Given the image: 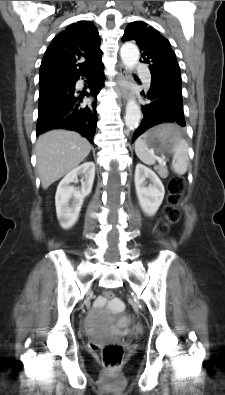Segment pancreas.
<instances>
[{"label": "pancreas", "mask_w": 225, "mask_h": 395, "mask_svg": "<svg viewBox=\"0 0 225 395\" xmlns=\"http://www.w3.org/2000/svg\"><path fill=\"white\" fill-rule=\"evenodd\" d=\"M161 177L166 178L167 177V171L163 170V171H159Z\"/></svg>", "instance_id": "obj_1"}]
</instances>
